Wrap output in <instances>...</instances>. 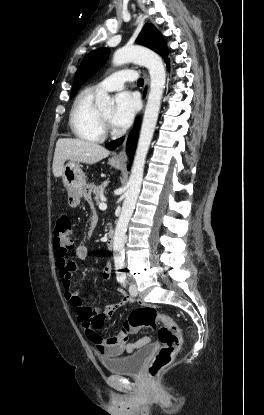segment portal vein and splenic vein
Masks as SVG:
<instances>
[{"label": "portal vein and splenic vein", "mask_w": 264, "mask_h": 415, "mask_svg": "<svg viewBox=\"0 0 264 415\" xmlns=\"http://www.w3.org/2000/svg\"><path fill=\"white\" fill-rule=\"evenodd\" d=\"M106 208H107V205H106V203H105V202H101V203L99 204V209H100V210H106Z\"/></svg>", "instance_id": "18ae733b"}]
</instances>
